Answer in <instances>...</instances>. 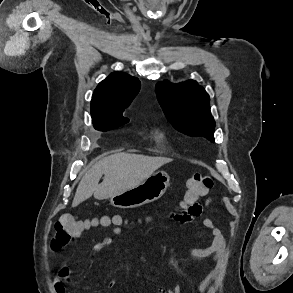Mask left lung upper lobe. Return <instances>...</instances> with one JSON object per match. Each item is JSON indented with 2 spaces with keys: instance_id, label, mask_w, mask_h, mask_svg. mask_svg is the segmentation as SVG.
Instances as JSON below:
<instances>
[{
  "instance_id": "5c2ea615",
  "label": "left lung upper lobe",
  "mask_w": 293,
  "mask_h": 293,
  "mask_svg": "<svg viewBox=\"0 0 293 293\" xmlns=\"http://www.w3.org/2000/svg\"><path fill=\"white\" fill-rule=\"evenodd\" d=\"M155 89L165 115L177 130L215 141V122L210 112V99L202 87L193 80L179 84L163 81Z\"/></svg>"
}]
</instances>
